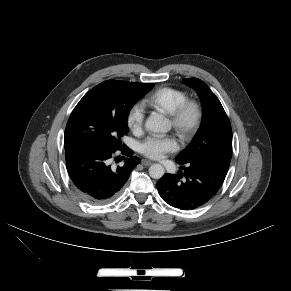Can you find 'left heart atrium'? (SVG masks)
<instances>
[{
	"mask_svg": "<svg viewBox=\"0 0 291 291\" xmlns=\"http://www.w3.org/2000/svg\"><path fill=\"white\" fill-rule=\"evenodd\" d=\"M177 147V142L172 136H150L140 144L139 150L148 158L160 159L164 154L175 151Z\"/></svg>",
	"mask_w": 291,
	"mask_h": 291,
	"instance_id": "1",
	"label": "left heart atrium"
}]
</instances>
